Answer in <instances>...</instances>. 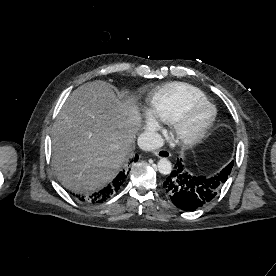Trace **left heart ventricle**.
<instances>
[{"label": "left heart ventricle", "instance_id": "1", "mask_svg": "<svg viewBox=\"0 0 276 276\" xmlns=\"http://www.w3.org/2000/svg\"><path fill=\"white\" fill-rule=\"evenodd\" d=\"M212 109L209 106H200L194 109L188 118L186 130L194 132L200 129L211 117Z\"/></svg>", "mask_w": 276, "mask_h": 276}]
</instances>
